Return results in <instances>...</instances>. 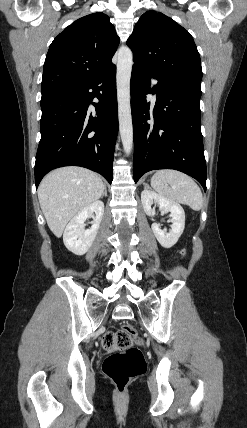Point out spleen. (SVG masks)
Instances as JSON below:
<instances>
[{
    "mask_svg": "<svg viewBox=\"0 0 247 428\" xmlns=\"http://www.w3.org/2000/svg\"><path fill=\"white\" fill-rule=\"evenodd\" d=\"M151 185L160 195L188 205L195 211L203 206V196L199 186L188 175L177 170L165 169L155 173Z\"/></svg>",
    "mask_w": 247,
    "mask_h": 428,
    "instance_id": "1",
    "label": "spleen"
}]
</instances>
